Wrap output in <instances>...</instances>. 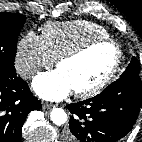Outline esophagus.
Listing matches in <instances>:
<instances>
[{
    "label": "esophagus",
    "mask_w": 142,
    "mask_h": 142,
    "mask_svg": "<svg viewBox=\"0 0 142 142\" xmlns=\"http://www.w3.org/2000/svg\"><path fill=\"white\" fill-rule=\"evenodd\" d=\"M54 107H55L54 104L47 103V102H43V103H42V108H43V109H51V108H54Z\"/></svg>",
    "instance_id": "esophagus-1"
}]
</instances>
